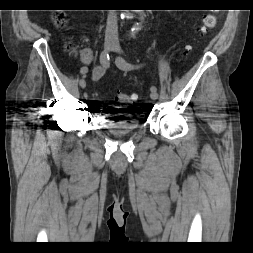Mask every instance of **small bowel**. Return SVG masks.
Instances as JSON below:
<instances>
[{
	"instance_id": "c3829d8e",
	"label": "small bowel",
	"mask_w": 253,
	"mask_h": 253,
	"mask_svg": "<svg viewBox=\"0 0 253 253\" xmlns=\"http://www.w3.org/2000/svg\"><path fill=\"white\" fill-rule=\"evenodd\" d=\"M106 71H107V67H104V66H98V67H96V68H94L93 70H92V72H91V79L93 80V81H98V80H100L103 76H104V74L106 73ZM81 72L84 74V73H86L87 72V69L86 68H83L82 70H81Z\"/></svg>"
}]
</instances>
